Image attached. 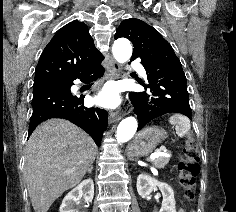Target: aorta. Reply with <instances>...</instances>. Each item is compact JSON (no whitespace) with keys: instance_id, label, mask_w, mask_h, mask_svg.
I'll return each mask as SVG.
<instances>
[{"instance_id":"obj_1","label":"aorta","mask_w":236,"mask_h":212,"mask_svg":"<svg viewBox=\"0 0 236 212\" xmlns=\"http://www.w3.org/2000/svg\"><path fill=\"white\" fill-rule=\"evenodd\" d=\"M114 58L119 63L127 62L132 55V46L130 41L125 38L118 39L112 47ZM137 120L134 117L123 119L117 127L116 138L120 143L129 141L137 130Z\"/></svg>"}]
</instances>
